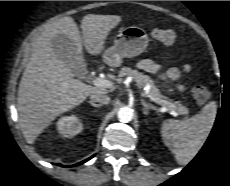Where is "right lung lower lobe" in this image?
<instances>
[{
	"label": "right lung lower lobe",
	"instance_id": "1",
	"mask_svg": "<svg viewBox=\"0 0 230 186\" xmlns=\"http://www.w3.org/2000/svg\"><path fill=\"white\" fill-rule=\"evenodd\" d=\"M92 157H93V156H92ZM92 157H90V158H88V159H86V160H84V161H81V162H79V163L75 164L74 166L81 165V164L85 163L86 161H88L89 159H91ZM57 165H59V166H63V165H61V164H57ZM63 167H67V166H63ZM69 167H70V166H69Z\"/></svg>",
	"mask_w": 230,
	"mask_h": 186
}]
</instances>
